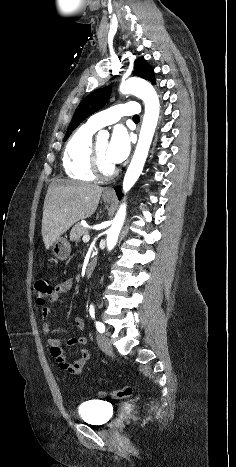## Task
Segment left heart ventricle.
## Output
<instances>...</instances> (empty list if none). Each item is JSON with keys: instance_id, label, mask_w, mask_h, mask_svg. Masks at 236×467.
Wrapping results in <instances>:
<instances>
[{"instance_id": "left-heart-ventricle-1", "label": "left heart ventricle", "mask_w": 236, "mask_h": 467, "mask_svg": "<svg viewBox=\"0 0 236 467\" xmlns=\"http://www.w3.org/2000/svg\"><path fill=\"white\" fill-rule=\"evenodd\" d=\"M108 141L107 140H104V141H100V142H97L96 143V146H97V150H98V153L101 157V160H102V163H103V166L108 169L110 168L111 166H113V163L108 159V156H107V149H108Z\"/></svg>"}]
</instances>
